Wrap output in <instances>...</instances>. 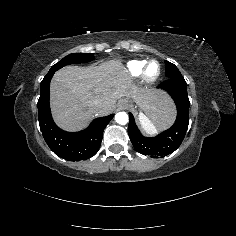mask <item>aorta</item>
<instances>
[{
    "mask_svg": "<svg viewBox=\"0 0 236 236\" xmlns=\"http://www.w3.org/2000/svg\"><path fill=\"white\" fill-rule=\"evenodd\" d=\"M115 121L120 125H125L129 121L128 114L126 112H118L115 115Z\"/></svg>",
    "mask_w": 236,
    "mask_h": 236,
    "instance_id": "1",
    "label": "aorta"
}]
</instances>
